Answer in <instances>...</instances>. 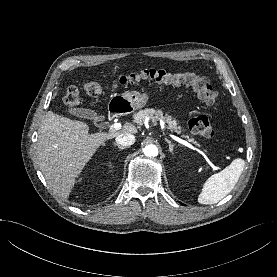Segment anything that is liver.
Segmentation results:
<instances>
[{
    "label": "liver",
    "mask_w": 277,
    "mask_h": 277,
    "mask_svg": "<svg viewBox=\"0 0 277 277\" xmlns=\"http://www.w3.org/2000/svg\"><path fill=\"white\" fill-rule=\"evenodd\" d=\"M127 133L135 134L137 128L125 123L121 130L89 134L86 123L46 112L38 131V161L53 192L66 199L98 148Z\"/></svg>",
    "instance_id": "6515ba94"
}]
</instances>
